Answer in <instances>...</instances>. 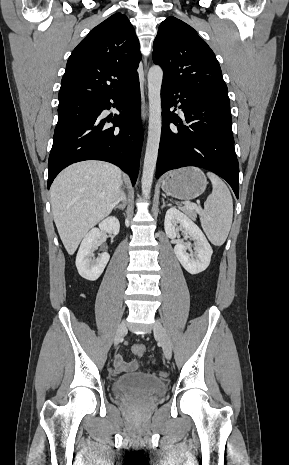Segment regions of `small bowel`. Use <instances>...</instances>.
Listing matches in <instances>:
<instances>
[{"mask_svg":"<svg viewBox=\"0 0 289 465\" xmlns=\"http://www.w3.org/2000/svg\"><path fill=\"white\" fill-rule=\"evenodd\" d=\"M114 364L117 372L133 371L137 367L136 361H126L121 354H118L115 357Z\"/></svg>","mask_w":289,"mask_h":465,"instance_id":"obj_1","label":"small bowel"}]
</instances>
